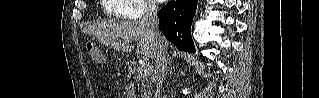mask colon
I'll use <instances>...</instances> for the list:
<instances>
[{
  "label": "colon",
  "instance_id": "colon-1",
  "mask_svg": "<svg viewBox=\"0 0 319 98\" xmlns=\"http://www.w3.org/2000/svg\"><path fill=\"white\" fill-rule=\"evenodd\" d=\"M88 55L91 61L97 65H103L105 63V57L102 51L93 43L88 42L86 45Z\"/></svg>",
  "mask_w": 319,
  "mask_h": 98
}]
</instances>
